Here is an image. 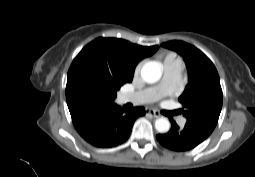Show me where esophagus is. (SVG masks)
<instances>
[{
	"mask_svg": "<svg viewBox=\"0 0 255 177\" xmlns=\"http://www.w3.org/2000/svg\"><path fill=\"white\" fill-rule=\"evenodd\" d=\"M146 115H150L154 118L161 117V114L159 112H157L156 110H154V109H146Z\"/></svg>",
	"mask_w": 255,
	"mask_h": 177,
	"instance_id": "1",
	"label": "esophagus"
}]
</instances>
